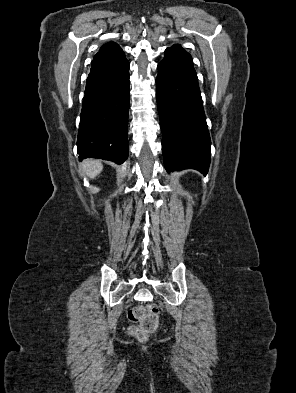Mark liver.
Here are the masks:
<instances>
[{
  "label": "liver",
  "instance_id": "obj_1",
  "mask_svg": "<svg viewBox=\"0 0 296 393\" xmlns=\"http://www.w3.org/2000/svg\"><path fill=\"white\" fill-rule=\"evenodd\" d=\"M81 167L91 179L95 178L103 169V165L97 160H85L81 164Z\"/></svg>",
  "mask_w": 296,
  "mask_h": 393
}]
</instances>
